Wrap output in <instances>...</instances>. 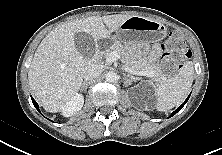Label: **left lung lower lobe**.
Masks as SVG:
<instances>
[{"label":"left lung lower lobe","instance_id":"left-lung-lower-lobe-1","mask_svg":"<svg viewBox=\"0 0 222 155\" xmlns=\"http://www.w3.org/2000/svg\"><path fill=\"white\" fill-rule=\"evenodd\" d=\"M188 98H189V97H188ZM188 98H187V99L185 100V102H184L181 106H179V107L177 108V110H175L169 117L174 116L178 111H180V110L182 109V107L185 105V103L187 102Z\"/></svg>","mask_w":222,"mask_h":155}]
</instances>
